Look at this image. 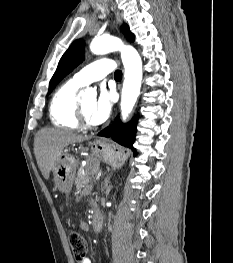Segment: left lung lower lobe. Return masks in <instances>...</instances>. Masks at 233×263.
I'll return each mask as SVG.
<instances>
[{
    "mask_svg": "<svg viewBox=\"0 0 233 263\" xmlns=\"http://www.w3.org/2000/svg\"><path fill=\"white\" fill-rule=\"evenodd\" d=\"M136 122L137 117L130 121L128 124L124 125L120 121L119 117H117L111 127L105 128L98 135L111 137L117 143L131 148L135 152L134 155H136V150L133 147L136 136Z\"/></svg>",
    "mask_w": 233,
    "mask_h": 263,
    "instance_id": "0a47b994",
    "label": "left lung lower lobe"
}]
</instances>
